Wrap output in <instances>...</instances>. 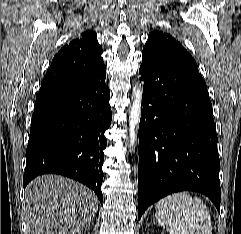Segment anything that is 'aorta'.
I'll use <instances>...</instances> for the list:
<instances>
[{"label":"aorta","mask_w":241,"mask_h":234,"mask_svg":"<svg viewBox=\"0 0 241 234\" xmlns=\"http://www.w3.org/2000/svg\"><path fill=\"white\" fill-rule=\"evenodd\" d=\"M142 85L139 84L133 89L132 106L129 113V142L130 148L133 147L137 139V128L140 123L142 105Z\"/></svg>","instance_id":"obj_1"}]
</instances>
